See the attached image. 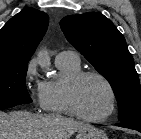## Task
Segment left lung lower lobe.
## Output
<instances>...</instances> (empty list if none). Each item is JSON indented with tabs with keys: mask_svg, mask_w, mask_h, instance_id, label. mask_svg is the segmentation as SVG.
Masks as SVG:
<instances>
[{
	"mask_svg": "<svg viewBox=\"0 0 141 139\" xmlns=\"http://www.w3.org/2000/svg\"><path fill=\"white\" fill-rule=\"evenodd\" d=\"M120 127L134 129L141 132V121H130L117 124Z\"/></svg>",
	"mask_w": 141,
	"mask_h": 139,
	"instance_id": "1",
	"label": "left lung lower lobe"
}]
</instances>
